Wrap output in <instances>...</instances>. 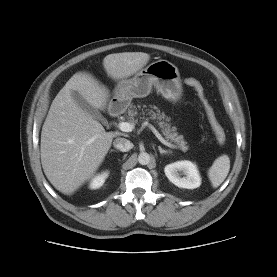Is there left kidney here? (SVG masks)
Here are the masks:
<instances>
[{"label":"left kidney","mask_w":277,"mask_h":277,"mask_svg":"<svg viewBox=\"0 0 277 277\" xmlns=\"http://www.w3.org/2000/svg\"><path fill=\"white\" fill-rule=\"evenodd\" d=\"M165 175L179 188L195 189L201 185V177L197 166L188 160L168 164L164 168ZM185 176L181 177L180 173Z\"/></svg>","instance_id":"5707ae66"}]
</instances>
